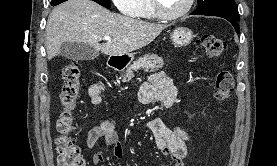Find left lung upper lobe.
I'll list each match as a JSON object with an SVG mask.
<instances>
[{
    "mask_svg": "<svg viewBox=\"0 0 277 166\" xmlns=\"http://www.w3.org/2000/svg\"><path fill=\"white\" fill-rule=\"evenodd\" d=\"M193 15L228 17L238 20V8L234 0H198Z\"/></svg>",
    "mask_w": 277,
    "mask_h": 166,
    "instance_id": "left-lung-upper-lobe-1",
    "label": "left lung upper lobe"
}]
</instances>
